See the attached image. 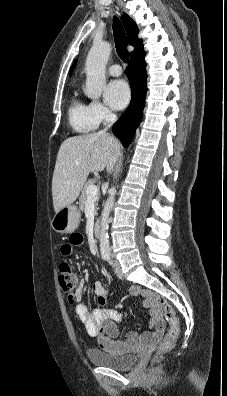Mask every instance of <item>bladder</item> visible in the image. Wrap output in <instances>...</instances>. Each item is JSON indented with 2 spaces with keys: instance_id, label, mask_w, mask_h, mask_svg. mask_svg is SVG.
Listing matches in <instances>:
<instances>
[{
  "instance_id": "obj_1",
  "label": "bladder",
  "mask_w": 227,
  "mask_h": 396,
  "mask_svg": "<svg viewBox=\"0 0 227 396\" xmlns=\"http://www.w3.org/2000/svg\"><path fill=\"white\" fill-rule=\"evenodd\" d=\"M91 364L98 367H107L114 370L125 371L132 368L137 362V355L133 353L119 354L102 349L91 348L87 351Z\"/></svg>"
}]
</instances>
